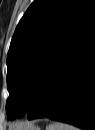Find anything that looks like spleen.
<instances>
[{"instance_id":"1","label":"spleen","mask_w":95,"mask_h":130,"mask_svg":"<svg viewBox=\"0 0 95 130\" xmlns=\"http://www.w3.org/2000/svg\"><path fill=\"white\" fill-rule=\"evenodd\" d=\"M46 130H78V128L62 122H53L46 127Z\"/></svg>"}]
</instances>
